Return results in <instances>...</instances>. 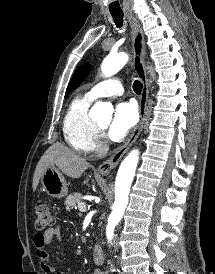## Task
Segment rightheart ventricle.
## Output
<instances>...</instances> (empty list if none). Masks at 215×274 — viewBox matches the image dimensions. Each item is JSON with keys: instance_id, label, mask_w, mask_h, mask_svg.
<instances>
[{"instance_id": "1", "label": "right heart ventricle", "mask_w": 215, "mask_h": 274, "mask_svg": "<svg viewBox=\"0 0 215 274\" xmlns=\"http://www.w3.org/2000/svg\"><path fill=\"white\" fill-rule=\"evenodd\" d=\"M93 100L86 95L75 97L69 104L63 120L66 143L75 151L89 153L93 150L97 126L89 116Z\"/></svg>"}]
</instances>
